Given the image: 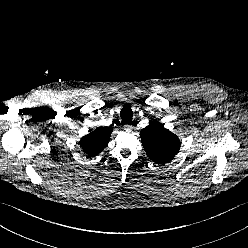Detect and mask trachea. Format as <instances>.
Here are the masks:
<instances>
[{"label":"trachea","instance_id":"trachea-1","mask_svg":"<svg viewBox=\"0 0 248 248\" xmlns=\"http://www.w3.org/2000/svg\"><path fill=\"white\" fill-rule=\"evenodd\" d=\"M120 115H121V119L124 123H130L132 121V118H133V112H132L131 107L129 105H125L122 108Z\"/></svg>","mask_w":248,"mask_h":248}]
</instances>
